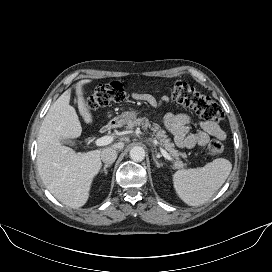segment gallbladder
<instances>
[{
	"label": "gallbladder",
	"mask_w": 272,
	"mask_h": 272,
	"mask_svg": "<svg viewBox=\"0 0 272 272\" xmlns=\"http://www.w3.org/2000/svg\"><path fill=\"white\" fill-rule=\"evenodd\" d=\"M61 143L66 144V145H71V144H73V142H72L70 139H62V140H61Z\"/></svg>",
	"instance_id": "bac80fb5"
}]
</instances>
